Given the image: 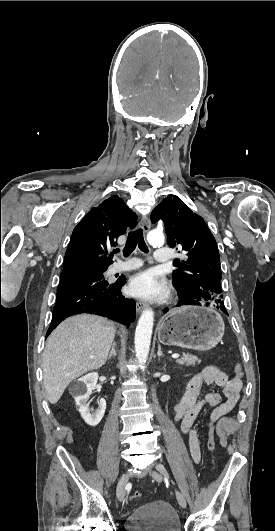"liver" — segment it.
Masks as SVG:
<instances>
[{"label": "liver", "instance_id": "6515ba94", "mask_svg": "<svg viewBox=\"0 0 275 531\" xmlns=\"http://www.w3.org/2000/svg\"><path fill=\"white\" fill-rule=\"evenodd\" d=\"M112 321L75 315L60 323L47 339L43 383L51 405L58 403L71 381L105 365L115 337Z\"/></svg>", "mask_w": 275, "mask_h": 531}]
</instances>
